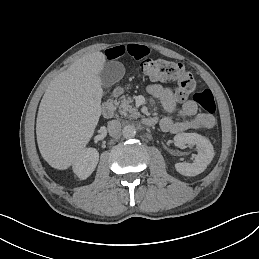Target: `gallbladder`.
Instances as JSON below:
<instances>
[{
  "label": "gallbladder",
  "instance_id": "obj_1",
  "mask_svg": "<svg viewBox=\"0 0 259 259\" xmlns=\"http://www.w3.org/2000/svg\"><path fill=\"white\" fill-rule=\"evenodd\" d=\"M124 74L125 68L121 62L111 61L105 63L103 69L97 74L100 87L103 90H109L123 78Z\"/></svg>",
  "mask_w": 259,
  "mask_h": 259
}]
</instances>
